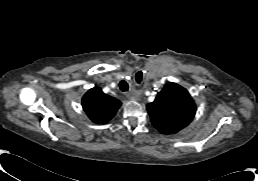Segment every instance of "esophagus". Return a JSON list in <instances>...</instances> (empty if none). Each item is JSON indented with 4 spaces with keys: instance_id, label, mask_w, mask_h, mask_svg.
Instances as JSON below:
<instances>
[{
    "instance_id": "1",
    "label": "esophagus",
    "mask_w": 258,
    "mask_h": 181,
    "mask_svg": "<svg viewBox=\"0 0 258 181\" xmlns=\"http://www.w3.org/2000/svg\"><path fill=\"white\" fill-rule=\"evenodd\" d=\"M128 97L132 98V99H136L138 97V95L135 92H129L127 94Z\"/></svg>"
}]
</instances>
